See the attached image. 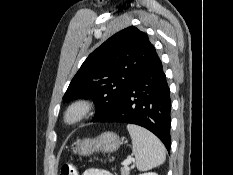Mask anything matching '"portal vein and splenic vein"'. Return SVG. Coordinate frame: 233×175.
I'll use <instances>...</instances> for the list:
<instances>
[{"instance_id":"portal-vein-and-splenic-vein-1","label":"portal vein and splenic vein","mask_w":233,"mask_h":175,"mask_svg":"<svg viewBox=\"0 0 233 175\" xmlns=\"http://www.w3.org/2000/svg\"><path fill=\"white\" fill-rule=\"evenodd\" d=\"M133 158L132 157H128L126 160L123 161V165L127 166L132 162Z\"/></svg>"}]
</instances>
